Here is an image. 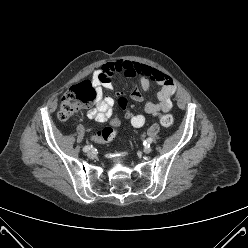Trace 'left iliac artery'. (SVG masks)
<instances>
[{
    "mask_svg": "<svg viewBox=\"0 0 248 248\" xmlns=\"http://www.w3.org/2000/svg\"><path fill=\"white\" fill-rule=\"evenodd\" d=\"M153 139L152 138H148L147 140H145L143 142L144 146L146 147H150V144L152 143Z\"/></svg>",
    "mask_w": 248,
    "mask_h": 248,
    "instance_id": "1",
    "label": "left iliac artery"
}]
</instances>
